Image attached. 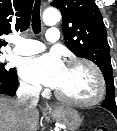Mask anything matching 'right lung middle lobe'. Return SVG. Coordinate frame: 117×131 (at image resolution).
<instances>
[{
	"instance_id": "dd1d6c3e",
	"label": "right lung middle lobe",
	"mask_w": 117,
	"mask_h": 131,
	"mask_svg": "<svg viewBox=\"0 0 117 131\" xmlns=\"http://www.w3.org/2000/svg\"><path fill=\"white\" fill-rule=\"evenodd\" d=\"M5 65L6 63H0V80L6 82L14 81L16 77V69L15 68L7 69L5 68Z\"/></svg>"
}]
</instances>
